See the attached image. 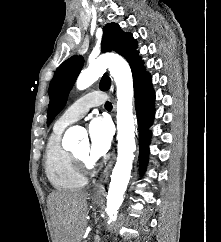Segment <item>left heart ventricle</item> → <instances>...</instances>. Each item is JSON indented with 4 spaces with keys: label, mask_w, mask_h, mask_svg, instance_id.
Returning <instances> with one entry per match:
<instances>
[{
    "label": "left heart ventricle",
    "mask_w": 221,
    "mask_h": 242,
    "mask_svg": "<svg viewBox=\"0 0 221 242\" xmlns=\"http://www.w3.org/2000/svg\"><path fill=\"white\" fill-rule=\"evenodd\" d=\"M88 150L89 146L87 144H83L76 149L75 153L82 158H88Z\"/></svg>",
    "instance_id": "1"
}]
</instances>
